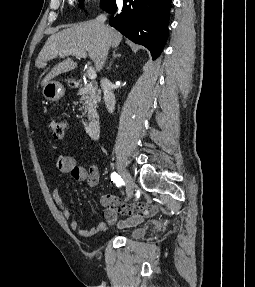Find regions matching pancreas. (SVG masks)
Returning a JSON list of instances; mask_svg holds the SVG:
<instances>
[{
	"label": "pancreas",
	"mask_w": 255,
	"mask_h": 287,
	"mask_svg": "<svg viewBox=\"0 0 255 287\" xmlns=\"http://www.w3.org/2000/svg\"><path fill=\"white\" fill-rule=\"evenodd\" d=\"M77 96H81V102L83 106V116H86L88 120H91L93 116H96V108L98 102H101V94L97 88H94L93 84H87L84 88H79ZM86 124V122H83Z\"/></svg>",
	"instance_id": "obj_1"
}]
</instances>
